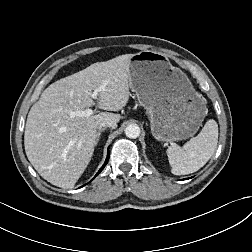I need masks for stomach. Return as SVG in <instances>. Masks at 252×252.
<instances>
[{
	"mask_svg": "<svg viewBox=\"0 0 252 252\" xmlns=\"http://www.w3.org/2000/svg\"><path fill=\"white\" fill-rule=\"evenodd\" d=\"M129 83L146 109L155 139L174 142L192 137L207 114L205 101L169 58L150 50L131 54Z\"/></svg>",
	"mask_w": 252,
	"mask_h": 252,
	"instance_id": "obj_1",
	"label": "stomach"
}]
</instances>
